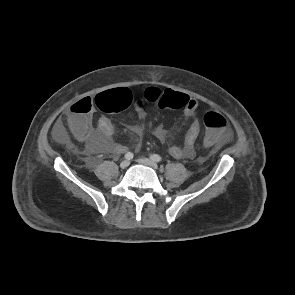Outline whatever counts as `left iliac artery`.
I'll list each match as a JSON object with an SVG mask.
<instances>
[{"label":"left iliac artery","instance_id":"obj_1","mask_svg":"<svg viewBox=\"0 0 295 295\" xmlns=\"http://www.w3.org/2000/svg\"><path fill=\"white\" fill-rule=\"evenodd\" d=\"M150 159L153 160V161H155V162H160V161H162L161 156H159V155H157V154H153V155H151V156H150Z\"/></svg>","mask_w":295,"mask_h":295}]
</instances>
